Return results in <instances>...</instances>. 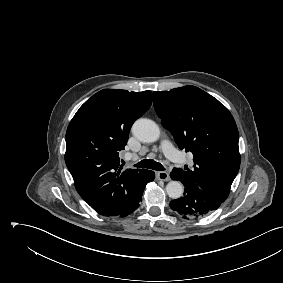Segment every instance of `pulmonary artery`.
<instances>
[{"label":"pulmonary artery","instance_id":"1","mask_svg":"<svg viewBox=\"0 0 283 283\" xmlns=\"http://www.w3.org/2000/svg\"><path fill=\"white\" fill-rule=\"evenodd\" d=\"M161 149L164 155L173 162H182L183 157L181 154L174 148V146L171 144L168 140H163L161 142Z\"/></svg>","mask_w":283,"mask_h":283}]
</instances>
